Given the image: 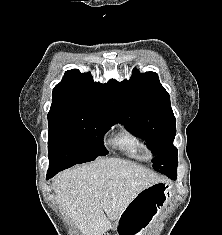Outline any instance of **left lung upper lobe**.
Returning <instances> with one entry per match:
<instances>
[{"mask_svg":"<svg viewBox=\"0 0 222 235\" xmlns=\"http://www.w3.org/2000/svg\"><path fill=\"white\" fill-rule=\"evenodd\" d=\"M118 121L134 135L146 140L156 154L153 168L173 179L178 165L173 146L176 119L170 96L155 72L140 74L134 69L129 80H110Z\"/></svg>","mask_w":222,"mask_h":235,"instance_id":"5c2ea615","label":"left lung upper lobe"}]
</instances>
